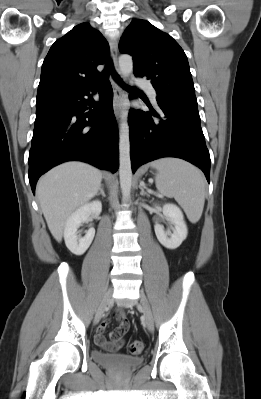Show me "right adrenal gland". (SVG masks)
I'll list each match as a JSON object with an SVG mask.
<instances>
[{
  "label": "right adrenal gland",
  "instance_id": "2a0ac1e0",
  "mask_svg": "<svg viewBox=\"0 0 261 399\" xmlns=\"http://www.w3.org/2000/svg\"><path fill=\"white\" fill-rule=\"evenodd\" d=\"M100 194H101L103 197H106V194H105V192H104V185H103V184L100 186L99 192L96 193V196H98V195H100Z\"/></svg>",
  "mask_w": 261,
  "mask_h": 399
}]
</instances>
